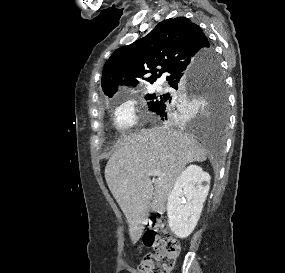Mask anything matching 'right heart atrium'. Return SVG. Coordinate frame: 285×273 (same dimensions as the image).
Instances as JSON below:
<instances>
[{
    "label": "right heart atrium",
    "instance_id": "obj_1",
    "mask_svg": "<svg viewBox=\"0 0 285 273\" xmlns=\"http://www.w3.org/2000/svg\"><path fill=\"white\" fill-rule=\"evenodd\" d=\"M139 108L135 101L126 100L120 103L114 111V125L117 129L127 131L138 123Z\"/></svg>",
    "mask_w": 285,
    "mask_h": 273
}]
</instances>
